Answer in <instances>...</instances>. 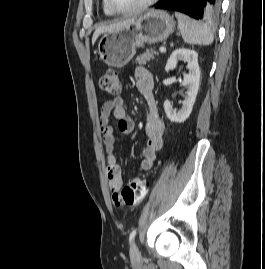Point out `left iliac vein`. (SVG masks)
Wrapping results in <instances>:
<instances>
[{"mask_svg":"<svg viewBox=\"0 0 265 269\" xmlns=\"http://www.w3.org/2000/svg\"><path fill=\"white\" fill-rule=\"evenodd\" d=\"M130 257L134 261H138L141 257L140 251L134 241L131 243L130 246Z\"/></svg>","mask_w":265,"mask_h":269,"instance_id":"4c4485c4","label":"left iliac vein"}]
</instances>
